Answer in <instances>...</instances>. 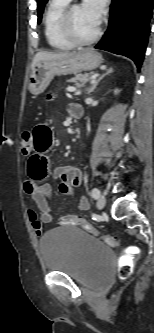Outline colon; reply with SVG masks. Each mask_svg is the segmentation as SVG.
<instances>
[{
	"label": "colon",
	"mask_w": 154,
	"mask_h": 333,
	"mask_svg": "<svg viewBox=\"0 0 154 333\" xmlns=\"http://www.w3.org/2000/svg\"><path fill=\"white\" fill-rule=\"evenodd\" d=\"M21 148L25 154L30 153L32 150V133L29 130L22 132L21 137ZM59 225H79L84 230L91 234L98 236L101 240L107 243L109 246H116V240L113 236L107 234H101L99 231L87 220L81 219L75 215H65L58 221ZM138 251L136 248H130L126 251L120 265L119 275L122 278H127L131 275L133 270V261L137 257Z\"/></svg>",
	"instance_id": "5ec220e1"
}]
</instances>
